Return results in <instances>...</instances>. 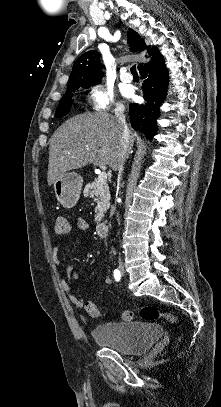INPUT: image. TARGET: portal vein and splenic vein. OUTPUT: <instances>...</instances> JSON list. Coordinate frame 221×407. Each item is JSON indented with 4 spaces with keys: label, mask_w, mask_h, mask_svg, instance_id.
Segmentation results:
<instances>
[{
    "label": "portal vein and splenic vein",
    "mask_w": 221,
    "mask_h": 407,
    "mask_svg": "<svg viewBox=\"0 0 221 407\" xmlns=\"http://www.w3.org/2000/svg\"><path fill=\"white\" fill-rule=\"evenodd\" d=\"M107 181V173L106 171H102L99 175H98V182L101 184H105Z\"/></svg>",
    "instance_id": "18ae733b"
}]
</instances>
